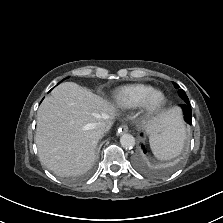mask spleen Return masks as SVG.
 <instances>
[{"label": "spleen", "mask_w": 223, "mask_h": 223, "mask_svg": "<svg viewBox=\"0 0 223 223\" xmlns=\"http://www.w3.org/2000/svg\"><path fill=\"white\" fill-rule=\"evenodd\" d=\"M186 129L179 114L173 124L160 134L149 136L150 148L159 160H171L178 157L185 145Z\"/></svg>", "instance_id": "3e777b00"}]
</instances>
